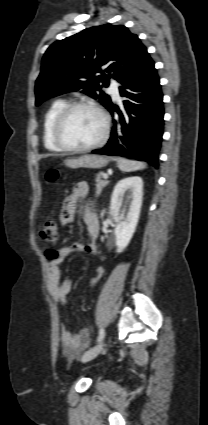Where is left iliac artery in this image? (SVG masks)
<instances>
[{
  "mask_svg": "<svg viewBox=\"0 0 208 425\" xmlns=\"http://www.w3.org/2000/svg\"><path fill=\"white\" fill-rule=\"evenodd\" d=\"M104 335H105L104 329L101 327L100 330H99V335H98L97 341L100 342L103 339Z\"/></svg>",
  "mask_w": 208,
  "mask_h": 425,
  "instance_id": "1",
  "label": "left iliac artery"
}]
</instances>
